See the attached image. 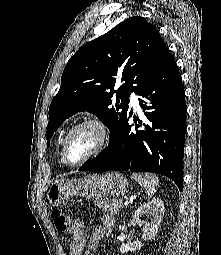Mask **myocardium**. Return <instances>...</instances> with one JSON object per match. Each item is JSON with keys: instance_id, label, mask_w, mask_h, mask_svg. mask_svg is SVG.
<instances>
[{"instance_id": "myocardium-1", "label": "myocardium", "mask_w": 221, "mask_h": 255, "mask_svg": "<svg viewBox=\"0 0 221 255\" xmlns=\"http://www.w3.org/2000/svg\"><path fill=\"white\" fill-rule=\"evenodd\" d=\"M85 127H91L96 130L97 135H98L97 144H96L95 148L82 160H80L78 162H74V163L69 162L66 157V147H67L68 141L75 132H77L78 130L85 128ZM108 138H109L108 127L103 120H101L98 117L87 118V119L81 121L80 123L76 124L74 127H72L69 130V132L66 134V136L64 137L63 142H62V147H61L62 161L64 162V164L71 166V167L81 166L84 163H86L87 161H89L90 159L97 156L104 149V147L108 141Z\"/></svg>"}]
</instances>
